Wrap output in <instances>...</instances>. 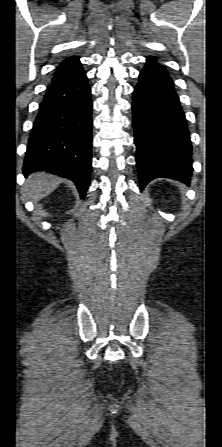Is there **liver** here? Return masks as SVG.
I'll return each instance as SVG.
<instances>
[{
    "label": "liver",
    "instance_id": "6515ba94",
    "mask_svg": "<svg viewBox=\"0 0 222 447\" xmlns=\"http://www.w3.org/2000/svg\"><path fill=\"white\" fill-rule=\"evenodd\" d=\"M62 179L44 172H37L28 177L25 183V191L33 201H39L52 193Z\"/></svg>",
    "mask_w": 222,
    "mask_h": 447
}]
</instances>
